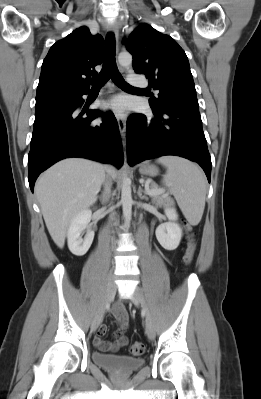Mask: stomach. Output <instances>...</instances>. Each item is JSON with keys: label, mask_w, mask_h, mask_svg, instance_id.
<instances>
[{"label": "stomach", "mask_w": 261, "mask_h": 399, "mask_svg": "<svg viewBox=\"0 0 261 399\" xmlns=\"http://www.w3.org/2000/svg\"><path fill=\"white\" fill-rule=\"evenodd\" d=\"M140 173L149 176H156L158 174V169L154 165L144 164L140 167Z\"/></svg>", "instance_id": "0dacf381"}]
</instances>
